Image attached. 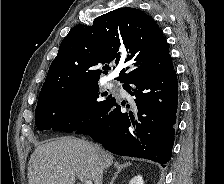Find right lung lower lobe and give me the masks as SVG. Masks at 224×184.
Masks as SVG:
<instances>
[{"mask_svg": "<svg viewBox=\"0 0 224 184\" xmlns=\"http://www.w3.org/2000/svg\"><path fill=\"white\" fill-rule=\"evenodd\" d=\"M123 88L134 96V113L121 111L124 104L114 100L96 120L75 133L88 134L114 154L149 159L164 166L172 155L178 104L173 66L132 78Z\"/></svg>", "mask_w": 224, "mask_h": 184, "instance_id": "obj_1", "label": "right lung lower lobe"}]
</instances>
